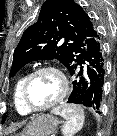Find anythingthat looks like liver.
<instances>
[{"label": "liver", "mask_w": 117, "mask_h": 136, "mask_svg": "<svg viewBox=\"0 0 117 136\" xmlns=\"http://www.w3.org/2000/svg\"><path fill=\"white\" fill-rule=\"evenodd\" d=\"M15 129V125H11L9 128H8V132L12 131Z\"/></svg>", "instance_id": "liver-1"}]
</instances>
